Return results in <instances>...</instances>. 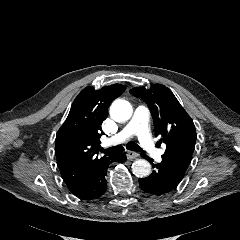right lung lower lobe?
<instances>
[{
    "label": "right lung lower lobe",
    "mask_w": 240,
    "mask_h": 240,
    "mask_svg": "<svg viewBox=\"0 0 240 240\" xmlns=\"http://www.w3.org/2000/svg\"><path fill=\"white\" fill-rule=\"evenodd\" d=\"M123 153L111 155L95 171L89 174L75 189L70 190L72 194L83 200H93L101 197L106 189L107 167L115 161H125Z\"/></svg>",
    "instance_id": "right-lung-lower-lobe-1"
}]
</instances>
